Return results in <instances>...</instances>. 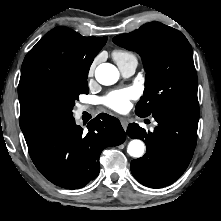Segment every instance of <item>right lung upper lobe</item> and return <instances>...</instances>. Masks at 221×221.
Masks as SVG:
<instances>
[{"label": "right lung upper lobe", "instance_id": "1", "mask_svg": "<svg viewBox=\"0 0 221 221\" xmlns=\"http://www.w3.org/2000/svg\"><path fill=\"white\" fill-rule=\"evenodd\" d=\"M107 37H84L70 28L55 27L26 55L18 86L21 129L32 122L28 102L58 79L89 71Z\"/></svg>", "mask_w": 221, "mask_h": 221}]
</instances>
